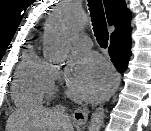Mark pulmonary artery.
Here are the masks:
<instances>
[{
	"label": "pulmonary artery",
	"instance_id": "e3ab8cb5",
	"mask_svg": "<svg viewBox=\"0 0 151 131\" xmlns=\"http://www.w3.org/2000/svg\"><path fill=\"white\" fill-rule=\"evenodd\" d=\"M76 44H77V46L84 48V49H88L91 47V41L86 36L80 37Z\"/></svg>",
	"mask_w": 151,
	"mask_h": 131
}]
</instances>
